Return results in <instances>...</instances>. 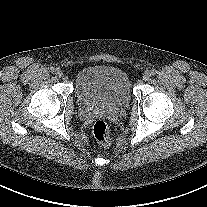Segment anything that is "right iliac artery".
Masks as SVG:
<instances>
[{
  "mask_svg": "<svg viewBox=\"0 0 207 207\" xmlns=\"http://www.w3.org/2000/svg\"><path fill=\"white\" fill-rule=\"evenodd\" d=\"M49 70L50 72H55L56 69L54 67H50Z\"/></svg>",
  "mask_w": 207,
  "mask_h": 207,
  "instance_id": "82829eb1",
  "label": "right iliac artery"
}]
</instances>
